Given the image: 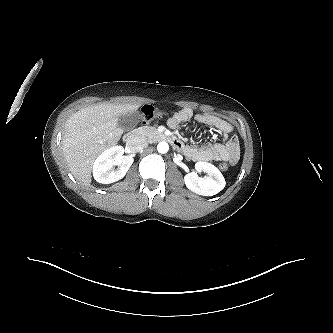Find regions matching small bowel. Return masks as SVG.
<instances>
[{
  "label": "small bowel",
  "mask_w": 333,
  "mask_h": 333,
  "mask_svg": "<svg viewBox=\"0 0 333 333\" xmlns=\"http://www.w3.org/2000/svg\"><path fill=\"white\" fill-rule=\"evenodd\" d=\"M194 119L198 123L217 130L222 136V142H210L205 145H184L180 150L193 161H228L235 164L239 156V140L233 134V125L207 113L194 114L189 108H183L174 113L167 121L170 128H177L180 124Z\"/></svg>",
  "instance_id": "obj_1"
}]
</instances>
